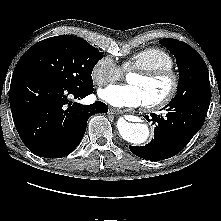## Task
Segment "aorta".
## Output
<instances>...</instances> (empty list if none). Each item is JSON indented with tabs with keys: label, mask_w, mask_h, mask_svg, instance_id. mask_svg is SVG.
<instances>
[{
	"label": "aorta",
	"mask_w": 221,
	"mask_h": 221,
	"mask_svg": "<svg viewBox=\"0 0 221 221\" xmlns=\"http://www.w3.org/2000/svg\"><path fill=\"white\" fill-rule=\"evenodd\" d=\"M117 129L124 140L136 145L145 143L150 135V130L147 124L132 123L123 117L118 119Z\"/></svg>",
	"instance_id": "762f6f07"
}]
</instances>
